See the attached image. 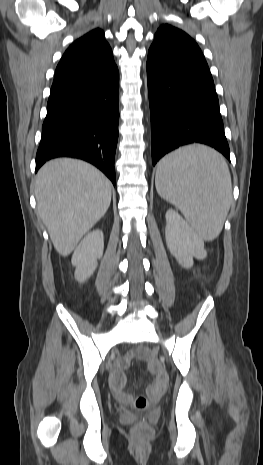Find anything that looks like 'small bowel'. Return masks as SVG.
I'll use <instances>...</instances> for the list:
<instances>
[{"instance_id": "c3829d8e", "label": "small bowel", "mask_w": 263, "mask_h": 465, "mask_svg": "<svg viewBox=\"0 0 263 465\" xmlns=\"http://www.w3.org/2000/svg\"><path fill=\"white\" fill-rule=\"evenodd\" d=\"M134 354H128L119 358L113 368L110 376V386L115 396L123 402H128L132 397L125 392L126 375L125 370L128 368ZM167 377L165 373L159 369H155V378L153 384L149 387V395L154 391L162 392L165 388Z\"/></svg>"}]
</instances>
